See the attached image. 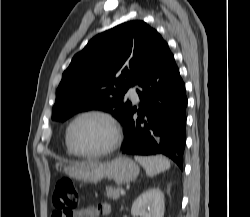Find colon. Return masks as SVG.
<instances>
[{
	"label": "colon",
	"instance_id": "colon-1",
	"mask_svg": "<svg viewBox=\"0 0 250 217\" xmlns=\"http://www.w3.org/2000/svg\"><path fill=\"white\" fill-rule=\"evenodd\" d=\"M78 206V192L69 178L57 180L52 196V217H72Z\"/></svg>",
	"mask_w": 250,
	"mask_h": 217
}]
</instances>
